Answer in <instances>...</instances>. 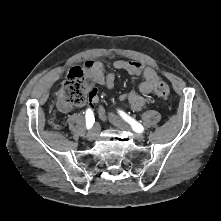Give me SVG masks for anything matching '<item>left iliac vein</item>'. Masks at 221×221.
<instances>
[{
    "instance_id": "4c4485c4",
    "label": "left iliac vein",
    "mask_w": 221,
    "mask_h": 221,
    "mask_svg": "<svg viewBox=\"0 0 221 221\" xmlns=\"http://www.w3.org/2000/svg\"><path fill=\"white\" fill-rule=\"evenodd\" d=\"M109 120L112 124H114L118 128L128 130V131L132 130L130 125H128L126 122H124L123 120H121L120 118H118L117 116H115L113 114H109ZM134 137L138 141H143L144 140V136L140 133H134Z\"/></svg>"
}]
</instances>
